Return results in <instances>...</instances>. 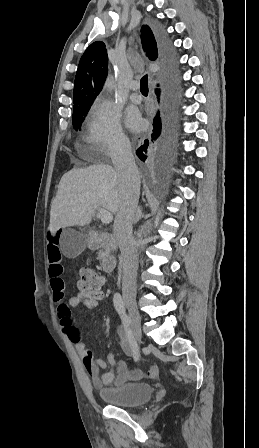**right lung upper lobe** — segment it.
<instances>
[{
  "instance_id": "right-lung-upper-lobe-1",
  "label": "right lung upper lobe",
  "mask_w": 259,
  "mask_h": 448,
  "mask_svg": "<svg viewBox=\"0 0 259 448\" xmlns=\"http://www.w3.org/2000/svg\"><path fill=\"white\" fill-rule=\"evenodd\" d=\"M141 41L146 56L155 61L159 59V46L149 26L143 25ZM108 56L105 44L101 41L92 43L82 55L73 92V110L90 108L100 93L108 74Z\"/></svg>"
}]
</instances>
